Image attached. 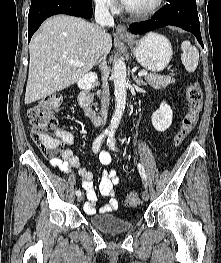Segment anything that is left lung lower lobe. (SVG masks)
I'll return each mask as SVG.
<instances>
[{"instance_id": "left-lung-lower-lobe-1", "label": "left lung lower lobe", "mask_w": 221, "mask_h": 263, "mask_svg": "<svg viewBox=\"0 0 221 263\" xmlns=\"http://www.w3.org/2000/svg\"><path fill=\"white\" fill-rule=\"evenodd\" d=\"M167 25L181 27L193 33L203 47L196 0H167L166 5L151 19L131 24L129 31L133 34H143Z\"/></svg>"}]
</instances>
